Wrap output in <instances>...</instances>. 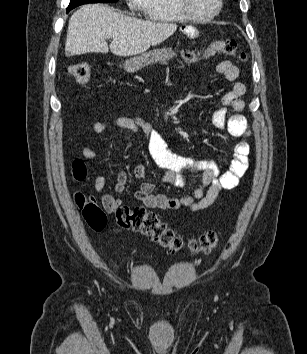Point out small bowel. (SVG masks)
<instances>
[{
  "label": "small bowel",
  "instance_id": "1",
  "mask_svg": "<svg viewBox=\"0 0 307 354\" xmlns=\"http://www.w3.org/2000/svg\"><path fill=\"white\" fill-rule=\"evenodd\" d=\"M198 31L195 28L185 30L186 38H197ZM217 72L228 81H235L239 75V69L230 61H222L217 65ZM245 85L237 82L231 90L221 99L222 107L216 109L212 114V123L219 129H226L229 134L239 138L234 147V154L229 169L223 174L214 160H195L189 157L177 155L171 152L167 143L153 125L139 118L119 117L113 124L117 128L126 129L133 133L142 132L148 140V151L155 162L166 173L162 178L163 182L174 183L177 186H184L187 181L183 173L196 174L201 177V185L195 190L191 197H172L166 194H154V184L143 182L135 192L137 200L141 201L147 208L161 210H176L181 207H187L190 211L196 212L208 208L214 203L223 190L235 188L248 168L249 144L248 137L250 132L245 117L242 115L244 102L242 96L245 94ZM227 107L231 108L233 113L228 116ZM108 128L107 123L97 121L92 129L95 133L101 134ZM82 156L95 161L96 152L85 145L81 150ZM148 170L144 165H137L133 169V177L142 179L147 176ZM127 182V175L124 171L118 174L114 187L116 192H121ZM105 187V178L98 175L94 179V189L97 192L103 191ZM102 202L108 210L121 204V200L113 195L107 194L102 198Z\"/></svg>",
  "mask_w": 307,
  "mask_h": 354
}]
</instances>
